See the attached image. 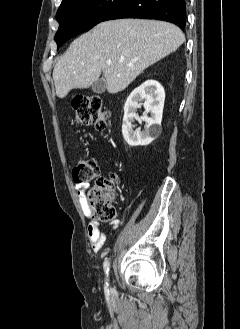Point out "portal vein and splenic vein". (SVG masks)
Returning a JSON list of instances; mask_svg holds the SVG:
<instances>
[{"instance_id": "obj_1", "label": "portal vein and splenic vein", "mask_w": 240, "mask_h": 329, "mask_svg": "<svg viewBox=\"0 0 240 329\" xmlns=\"http://www.w3.org/2000/svg\"><path fill=\"white\" fill-rule=\"evenodd\" d=\"M106 63H107L108 65H111V64H112V61H111V60H107ZM129 66H130V65H129Z\"/></svg>"}]
</instances>
